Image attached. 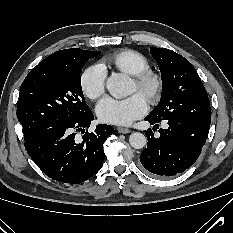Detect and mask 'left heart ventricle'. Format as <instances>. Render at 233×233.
Instances as JSON below:
<instances>
[{
    "instance_id": "obj_1",
    "label": "left heart ventricle",
    "mask_w": 233,
    "mask_h": 233,
    "mask_svg": "<svg viewBox=\"0 0 233 233\" xmlns=\"http://www.w3.org/2000/svg\"><path fill=\"white\" fill-rule=\"evenodd\" d=\"M137 92L140 95H142L144 98H146V90H139L136 86V84L133 82L131 87V93Z\"/></svg>"
}]
</instances>
